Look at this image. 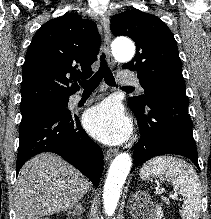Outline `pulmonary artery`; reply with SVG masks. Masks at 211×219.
Instances as JSON below:
<instances>
[{"label":"pulmonary artery","mask_w":211,"mask_h":219,"mask_svg":"<svg viewBox=\"0 0 211 219\" xmlns=\"http://www.w3.org/2000/svg\"><path fill=\"white\" fill-rule=\"evenodd\" d=\"M118 79L123 84H133V85H136L137 87H139V89L142 90V87H141L138 79L135 76L131 75L130 73L126 72V71L120 72L119 75H118ZM80 100H81L80 96L74 95L70 99V104H72V105L77 104Z\"/></svg>","instance_id":"pulmonary-artery-1"}]
</instances>
